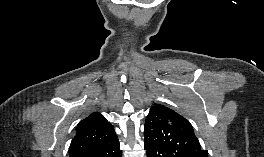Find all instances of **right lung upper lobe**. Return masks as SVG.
<instances>
[{
    "label": "right lung upper lobe",
    "mask_w": 264,
    "mask_h": 157,
    "mask_svg": "<svg viewBox=\"0 0 264 157\" xmlns=\"http://www.w3.org/2000/svg\"><path fill=\"white\" fill-rule=\"evenodd\" d=\"M118 140L113 126L99 113H92L76 128L69 157H88Z\"/></svg>",
    "instance_id": "obj_1"
}]
</instances>
